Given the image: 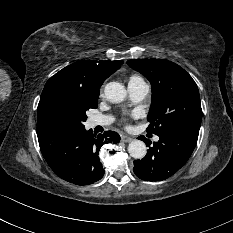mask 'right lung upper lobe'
I'll use <instances>...</instances> for the list:
<instances>
[{"label":"right lung upper lobe","mask_w":233,"mask_h":233,"mask_svg":"<svg viewBox=\"0 0 233 233\" xmlns=\"http://www.w3.org/2000/svg\"><path fill=\"white\" fill-rule=\"evenodd\" d=\"M121 64V61H78L63 68L48 81H63L85 93H99L105 79L118 70Z\"/></svg>","instance_id":"cb5924a9"}]
</instances>
